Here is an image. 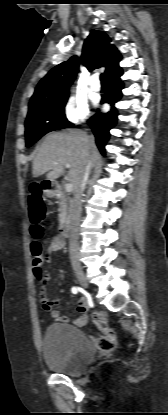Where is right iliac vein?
I'll return each mask as SVG.
<instances>
[{
  "label": "right iliac vein",
  "instance_id": "1",
  "mask_svg": "<svg viewBox=\"0 0 168 415\" xmlns=\"http://www.w3.org/2000/svg\"><path fill=\"white\" fill-rule=\"evenodd\" d=\"M75 275H76V278H77V280H78L79 284H80L83 288L87 289V288H88V282H87V279H86V277H85L84 273H83L81 270H77V271L75 272Z\"/></svg>",
  "mask_w": 168,
  "mask_h": 415
}]
</instances>
